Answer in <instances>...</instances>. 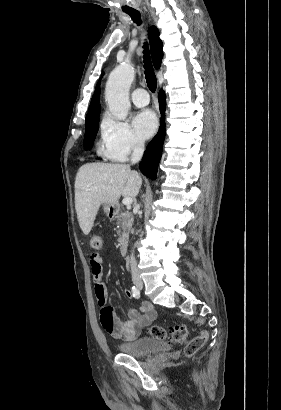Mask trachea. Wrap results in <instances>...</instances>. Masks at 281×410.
<instances>
[{"label": "trachea", "instance_id": "trachea-1", "mask_svg": "<svg viewBox=\"0 0 281 410\" xmlns=\"http://www.w3.org/2000/svg\"><path fill=\"white\" fill-rule=\"evenodd\" d=\"M138 25L141 24L140 12H128L127 13ZM144 48H147V44L144 45ZM144 68H145V78L148 85V88L151 92H155L157 87V79L154 73V69L151 63L150 55L148 49L144 50Z\"/></svg>", "mask_w": 281, "mask_h": 410}]
</instances>
